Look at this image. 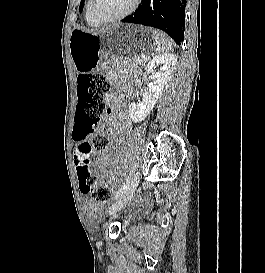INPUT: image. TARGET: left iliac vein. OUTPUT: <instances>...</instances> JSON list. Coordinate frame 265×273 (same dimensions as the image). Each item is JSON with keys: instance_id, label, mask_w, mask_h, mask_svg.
<instances>
[{"instance_id": "left-iliac-vein-1", "label": "left iliac vein", "mask_w": 265, "mask_h": 273, "mask_svg": "<svg viewBox=\"0 0 265 273\" xmlns=\"http://www.w3.org/2000/svg\"><path fill=\"white\" fill-rule=\"evenodd\" d=\"M141 178L140 172H136L131 178L128 187L110 208V214L120 211L133 197Z\"/></svg>"}]
</instances>
